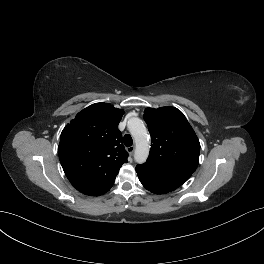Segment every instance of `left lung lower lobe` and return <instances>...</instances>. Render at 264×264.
Masks as SVG:
<instances>
[{
    "instance_id": "1",
    "label": "left lung lower lobe",
    "mask_w": 264,
    "mask_h": 264,
    "mask_svg": "<svg viewBox=\"0 0 264 264\" xmlns=\"http://www.w3.org/2000/svg\"><path fill=\"white\" fill-rule=\"evenodd\" d=\"M140 182L143 186L156 194H164L175 190L186 180L166 174L158 165L146 162L136 167Z\"/></svg>"
}]
</instances>
